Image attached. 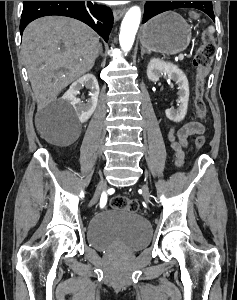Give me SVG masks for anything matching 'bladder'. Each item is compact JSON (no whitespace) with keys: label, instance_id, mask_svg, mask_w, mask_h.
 I'll list each match as a JSON object with an SVG mask.
<instances>
[{"label":"bladder","instance_id":"obj_1","mask_svg":"<svg viewBox=\"0 0 237 300\" xmlns=\"http://www.w3.org/2000/svg\"><path fill=\"white\" fill-rule=\"evenodd\" d=\"M149 222L139 214L107 210L95 214L88 223L87 239L100 250H138L151 239Z\"/></svg>","mask_w":237,"mask_h":300}]
</instances>
